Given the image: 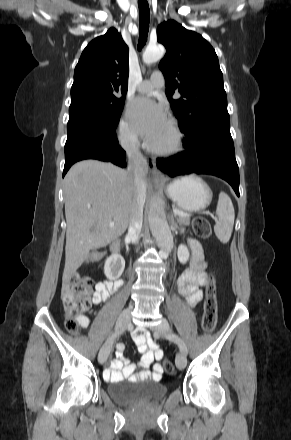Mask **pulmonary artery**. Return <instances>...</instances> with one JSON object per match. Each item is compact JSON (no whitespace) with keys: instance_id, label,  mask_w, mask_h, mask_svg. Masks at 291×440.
Segmentation results:
<instances>
[{"instance_id":"obj_1","label":"pulmonary artery","mask_w":291,"mask_h":440,"mask_svg":"<svg viewBox=\"0 0 291 440\" xmlns=\"http://www.w3.org/2000/svg\"><path fill=\"white\" fill-rule=\"evenodd\" d=\"M165 84V79L161 73H153L149 79L143 80L138 84L137 90L146 93L161 88Z\"/></svg>"}]
</instances>
